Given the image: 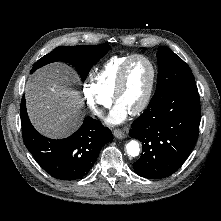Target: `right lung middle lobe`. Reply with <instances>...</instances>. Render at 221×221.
I'll return each instance as SVG.
<instances>
[{"label": "right lung middle lobe", "mask_w": 221, "mask_h": 221, "mask_svg": "<svg viewBox=\"0 0 221 221\" xmlns=\"http://www.w3.org/2000/svg\"><path fill=\"white\" fill-rule=\"evenodd\" d=\"M110 49L106 43L98 46H59L51 53L39 59L31 73L36 69L55 61H65L76 67L84 81L93 64L97 63Z\"/></svg>", "instance_id": "right-lung-middle-lobe-1"}]
</instances>
